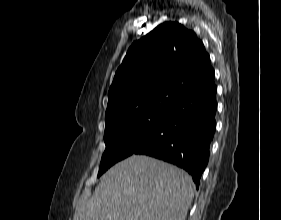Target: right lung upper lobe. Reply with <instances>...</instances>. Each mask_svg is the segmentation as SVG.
I'll return each instance as SVG.
<instances>
[{"label": "right lung upper lobe", "mask_w": 281, "mask_h": 220, "mask_svg": "<svg viewBox=\"0 0 281 220\" xmlns=\"http://www.w3.org/2000/svg\"><path fill=\"white\" fill-rule=\"evenodd\" d=\"M209 54L196 34L165 22L134 42L108 93L106 125L131 114L169 112L179 100L214 85Z\"/></svg>", "instance_id": "1"}]
</instances>
